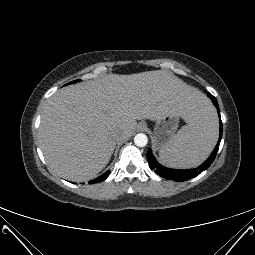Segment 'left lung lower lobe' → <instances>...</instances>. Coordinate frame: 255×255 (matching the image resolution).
Listing matches in <instances>:
<instances>
[{
    "instance_id": "obj_1",
    "label": "left lung lower lobe",
    "mask_w": 255,
    "mask_h": 255,
    "mask_svg": "<svg viewBox=\"0 0 255 255\" xmlns=\"http://www.w3.org/2000/svg\"><path fill=\"white\" fill-rule=\"evenodd\" d=\"M208 96L211 98L213 104L216 106V108L218 110V114L220 115L218 102H217L216 98L213 95H211L210 93H208ZM221 137H222V122H221V118H220V136H219L218 143H217L216 147L214 148L213 152L211 153L210 157L198 168L188 169V170H175V169L166 168V167L160 165L156 161L155 157L152 154L151 149H149L148 153H147V160H148L149 166L152 170L155 171L156 174H158L159 176L164 177L165 179H168V180L186 181L191 178H194L197 175H199L201 172L206 170L211 165V163L214 161L217 151L219 149Z\"/></svg>"
}]
</instances>
